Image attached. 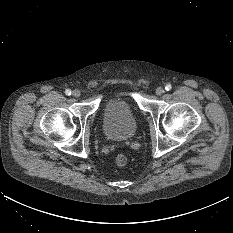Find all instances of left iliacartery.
Segmentation results:
<instances>
[{"label":"left iliac artery","instance_id":"left-iliac-artery-1","mask_svg":"<svg viewBox=\"0 0 233 233\" xmlns=\"http://www.w3.org/2000/svg\"><path fill=\"white\" fill-rule=\"evenodd\" d=\"M171 89H172L171 84H167V85L165 86V90L169 91V90H171Z\"/></svg>","mask_w":233,"mask_h":233}]
</instances>
